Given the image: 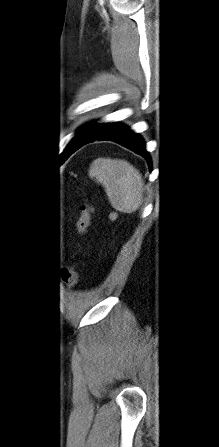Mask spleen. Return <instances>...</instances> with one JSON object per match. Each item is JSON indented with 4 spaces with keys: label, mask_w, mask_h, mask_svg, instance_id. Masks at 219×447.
<instances>
[{
    "label": "spleen",
    "mask_w": 219,
    "mask_h": 447,
    "mask_svg": "<svg viewBox=\"0 0 219 447\" xmlns=\"http://www.w3.org/2000/svg\"><path fill=\"white\" fill-rule=\"evenodd\" d=\"M89 176L104 188L111 205L131 213L142 204L143 181L139 171L122 159L98 158L90 166Z\"/></svg>",
    "instance_id": "spleen-1"
}]
</instances>
